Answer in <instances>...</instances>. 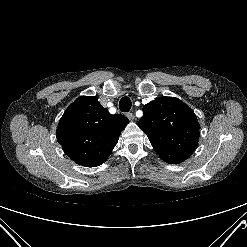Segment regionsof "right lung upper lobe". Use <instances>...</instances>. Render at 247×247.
I'll use <instances>...</instances> for the list:
<instances>
[{
  "mask_svg": "<svg viewBox=\"0 0 247 247\" xmlns=\"http://www.w3.org/2000/svg\"><path fill=\"white\" fill-rule=\"evenodd\" d=\"M128 123L123 115H110L97 98L82 96L61 117L57 140L77 164L96 167L108 158Z\"/></svg>",
  "mask_w": 247,
  "mask_h": 247,
  "instance_id": "obj_1",
  "label": "right lung upper lobe"
}]
</instances>
